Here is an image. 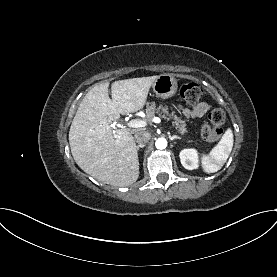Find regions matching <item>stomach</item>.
I'll return each mask as SVG.
<instances>
[{
	"mask_svg": "<svg viewBox=\"0 0 277 277\" xmlns=\"http://www.w3.org/2000/svg\"><path fill=\"white\" fill-rule=\"evenodd\" d=\"M177 87V80L170 74L158 76L152 85L155 95L162 99L173 96L177 92Z\"/></svg>",
	"mask_w": 277,
	"mask_h": 277,
	"instance_id": "0dacf381",
	"label": "stomach"
}]
</instances>
